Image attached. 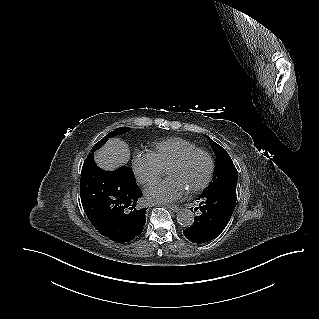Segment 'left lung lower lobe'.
<instances>
[{
    "mask_svg": "<svg viewBox=\"0 0 319 319\" xmlns=\"http://www.w3.org/2000/svg\"><path fill=\"white\" fill-rule=\"evenodd\" d=\"M200 210L192 226L183 231L193 243H205L216 238L228 224L236 204V187L202 193L197 199Z\"/></svg>",
    "mask_w": 319,
    "mask_h": 319,
    "instance_id": "left-lung-lower-lobe-1",
    "label": "left lung lower lobe"
}]
</instances>
